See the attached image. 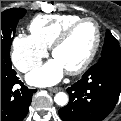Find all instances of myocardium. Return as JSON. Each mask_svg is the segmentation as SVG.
<instances>
[{"mask_svg": "<svg viewBox=\"0 0 121 121\" xmlns=\"http://www.w3.org/2000/svg\"><path fill=\"white\" fill-rule=\"evenodd\" d=\"M86 22L92 23L94 25L95 32H96V39H95V42H94L91 50L89 51L88 55L83 60V62L80 65H78L77 67L66 71L67 74H69V75H78V74L82 73L83 71H85L89 67V65L92 63L93 59L95 58V56L99 50V47L101 44V39H102V32H101V28H100L99 23L94 18H91V17L80 18L77 21L68 25L58 35V37L55 39V41L51 45V53H52V56L54 57L56 50L68 40V38L71 36L73 31L78 26H80L81 24L86 23Z\"/></svg>", "mask_w": 121, "mask_h": 121, "instance_id": "myocardium-1", "label": "myocardium"}]
</instances>
